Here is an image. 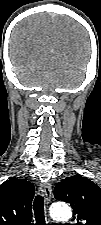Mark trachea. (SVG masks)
Masks as SVG:
<instances>
[{"instance_id":"1","label":"trachea","mask_w":101,"mask_h":225,"mask_svg":"<svg viewBox=\"0 0 101 225\" xmlns=\"http://www.w3.org/2000/svg\"><path fill=\"white\" fill-rule=\"evenodd\" d=\"M34 215L36 220V225H46L45 224V215H44V197L37 195L34 204Z\"/></svg>"}]
</instances>
